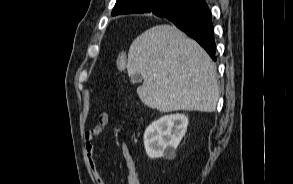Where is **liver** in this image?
<instances>
[{"label":"liver","instance_id":"obj_1","mask_svg":"<svg viewBox=\"0 0 293 184\" xmlns=\"http://www.w3.org/2000/svg\"><path fill=\"white\" fill-rule=\"evenodd\" d=\"M128 75L140 73L141 101L160 112H213L219 98L216 68L206 51L173 25H156L131 44Z\"/></svg>","mask_w":293,"mask_h":184}]
</instances>
